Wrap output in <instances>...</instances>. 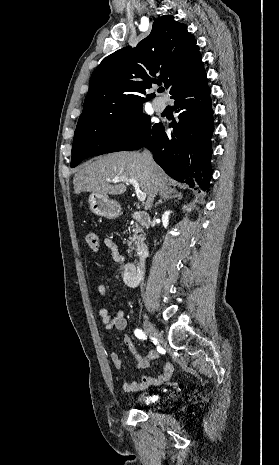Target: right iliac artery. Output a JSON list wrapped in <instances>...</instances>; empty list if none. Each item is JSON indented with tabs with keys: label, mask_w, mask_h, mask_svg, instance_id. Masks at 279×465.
<instances>
[{
	"label": "right iliac artery",
	"mask_w": 279,
	"mask_h": 465,
	"mask_svg": "<svg viewBox=\"0 0 279 465\" xmlns=\"http://www.w3.org/2000/svg\"><path fill=\"white\" fill-rule=\"evenodd\" d=\"M135 335H136V337L139 338V339H142V340H145V339H146L145 333H144L142 330H140V329H136V330H135Z\"/></svg>",
	"instance_id": "1"
}]
</instances>
